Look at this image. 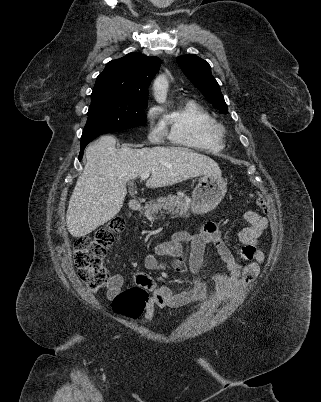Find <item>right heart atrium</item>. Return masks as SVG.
Returning a JSON list of instances; mask_svg holds the SVG:
<instances>
[{
	"label": "right heart atrium",
	"instance_id": "obj_1",
	"mask_svg": "<svg viewBox=\"0 0 321 402\" xmlns=\"http://www.w3.org/2000/svg\"><path fill=\"white\" fill-rule=\"evenodd\" d=\"M160 115V109L157 106H151L146 111V119L151 125L149 138L153 141H158L161 138L162 132L160 127L156 124V120Z\"/></svg>",
	"mask_w": 321,
	"mask_h": 402
}]
</instances>
